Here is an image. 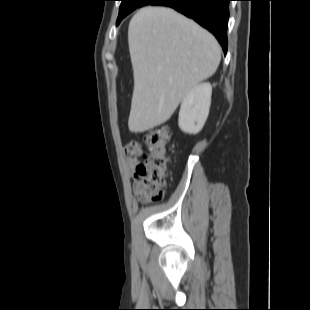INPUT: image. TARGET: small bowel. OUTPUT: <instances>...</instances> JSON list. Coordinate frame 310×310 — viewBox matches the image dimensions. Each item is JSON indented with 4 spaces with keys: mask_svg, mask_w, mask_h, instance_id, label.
Returning a JSON list of instances; mask_svg holds the SVG:
<instances>
[{
    "mask_svg": "<svg viewBox=\"0 0 310 310\" xmlns=\"http://www.w3.org/2000/svg\"><path fill=\"white\" fill-rule=\"evenodd\" d=\"M124 162L128 172L133 173L141 164L143 146L137 141H131L123 148Z\"/></svg>",
    "mask_w": 310,
    "mask_h": 310,
    "instance_id": "small-bowel-1",
    "label": "small bowel"
}]
</instances>
